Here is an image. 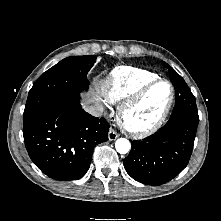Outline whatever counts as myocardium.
Segmentation results:
<instances>
[{"instance_id":"obj_1","label":"myocardium","mask_w":221,"mask_h":221,"mask_svg":"<svg viewBox=\"0 0 221 221\" xmlns=\"http://www.w3.org/2000/svg\"><path fill=\"white\" fill-rule=\"evenodd\" d=\"M159 83L170 86L169 99L161 113L147 125H136L131 120L132 114L144 103L149 92ZM175 100V88L172 82L165 78H156L142 87L139 92L128 100L119 110L118 118L123 129L132 136L142 137L156 131L165 121Z\"/></svg>"}]
</instances>
